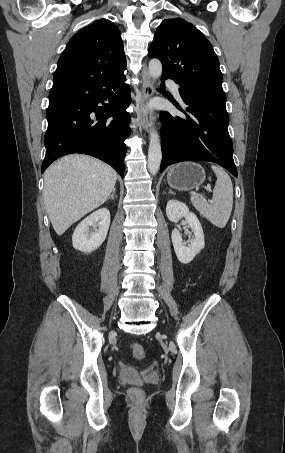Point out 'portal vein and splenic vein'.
<instances>
[{
	"label": "portal vein and splenic vein",
	"mask_w": 285,
	"mask_h": 453,
	"mask_svg": "<svg viewBox=\"0 0 285 453\" xmlns=\"http://www.w3.org/2000/svg\"><path fill=\"white\" fill-rule=\"evenodd\" d=\"M207 191H211V187L209 185L207 186Z\"/></svg>",
	"instance_id": "portal-vein-and-splenic-vein-1"
}]
</instances>
